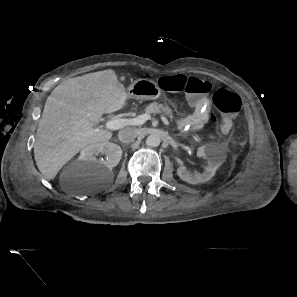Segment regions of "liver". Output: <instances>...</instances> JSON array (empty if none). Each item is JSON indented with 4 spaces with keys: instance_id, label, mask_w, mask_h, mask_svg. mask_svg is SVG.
Segmentation results:
<instances>
[{
    "instance_id": "1",
    "label": "liver",
    "mask_w": 297,
    "mask_h": 297,
    "mask_svg": "<svg viewBox=\"0 0 297 297\" xmlns=\"http://www.w3.org/2000/svg\"><path fill=\"white\" fill-rule=\"evenodd\" d=\"M127 98L111 69L71 78L54 88L45 102L33 146L36 165L45 179H54L88 145L109 141L112 132L94 126L104 113L125 107Z\"/></svg>"
}]
</instances>
